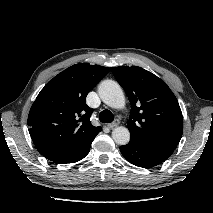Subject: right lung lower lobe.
I'll list each match as a JSON object with an SVG mask.
<instances>
[{"label": "right lung lower lobe", "instance_id": "1", "mask_svg": "<svg viewBox=\"0 0 213 213\" xmlns=\"http://www.w3.org/2000/svg\"><path fill=\"white\" fill-rule=\"evenodd\" d=\"M94 140L91 139L87 141L81 147L71 150V151H64V152H53L47 155H44L47 159L56 162V163H74L81 159H83L88 152L90 151L91 143Z\"/></svg>", "mask_w": 213, "mask_h": 213}]
</instances>
